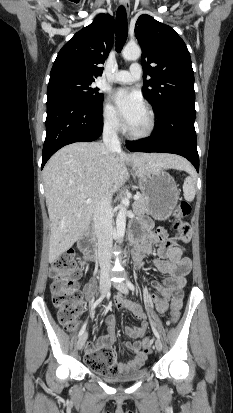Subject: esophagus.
Returning <instances> with one entry per match:
<instances>
[{"mask_svg":"<svg viewBox=\"0 0 233 413\" xmlns=\"http://www.w3.org/2000/svg\"><path fill=\"white\" fill-rule=\"evenodd\" d=\"M121 5L125 8L126 12H130V2L129 0H120Z\"/></svg>","mask_w":233,"mask_h":413,"instance_id":"esophagus-1","label":"esophagus"}]
</instances>
